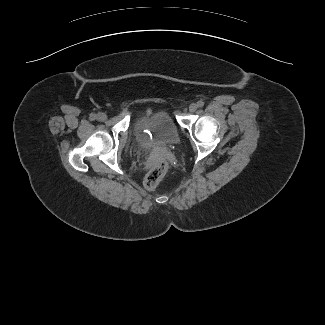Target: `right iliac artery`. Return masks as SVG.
I'll return each mask as SVG.
<instances>
[{
    "label": "right iliac artery",
    "mask_w": 325,
    "mask_h": 325,
    "mask_svg": "<svg viewBox=\"0 0 325 325\" xmlns=\"http://www.w3.org/2000/svg\"><path fill=\"white\" fill-rule=\"evenodd\" d=\"M90 119H91V120L96 119V115H95V114H90Z\"/></svg>",
    "instance_id": "right-iliac-artery-1"
}]
</instances>
